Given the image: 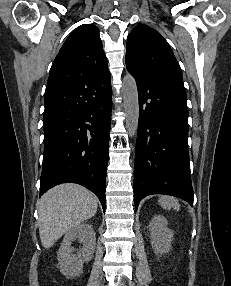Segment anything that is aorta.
Listing matches in <instances>:
<instances>
[{"label":"aorta","instance_id":"aorta-1","mask_svg":"<svg viewBox=\"0 0 231 286\" xmlns=\"http://www.w3.org/2000/svg\"><path fill=\"white\" fill-rule=\"evenodd\" d=\"M123 106L126 117V128L130 137H134L138 130L139 99L134 77L126 74L122 82Z\"/></svg>","mask_w":231,"mask_h":286}]
</instances>
